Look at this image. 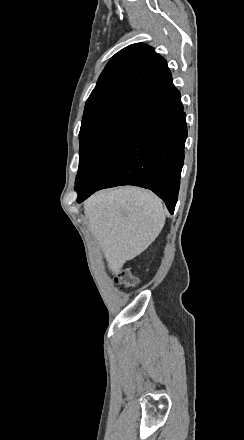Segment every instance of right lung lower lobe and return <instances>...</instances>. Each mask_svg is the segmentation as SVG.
Returning a JSON list of instances; mask_svg holds the SVG:
<instances>
[{
    "label": "right lung lower lobe",
    "mask_w": 244,
    "mask_h": 440,
    "mask_svg": "<svg viewBox=\"0 0 244 440\" xmlns=\"http://www.w3.org/2000/svg\"><path fill=\"white\" fill-rule=\"evenodd\" d=\"M187 137L186 114L172 78L140 98L103 141L81 179L77 202L103 188L152 190L174 212Z\"/></svg>",
    "instance_id": "1"
}]
</instances>
